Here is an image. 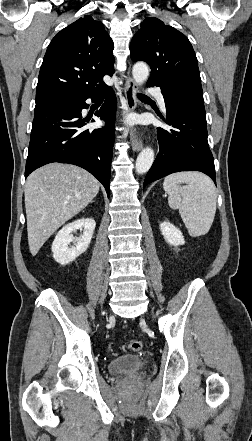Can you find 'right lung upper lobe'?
<instances>
[{"mask_svg":"<svg viewBox=\"0 0 252 441\" xmlns=\"http://www.w3.org/2000/svg\"><path fill=\"white\" fill-rule=\"evenodd\" d=\"M113 41L102 22L84 16L56 34L50 42L38 77L36 103L68 92L99 91L112 75Z\"/></svg>","mask_w":252,"mask_h":441,"instance_id":"obj_1","label":"right lung upper lobe"}]
</instances>
